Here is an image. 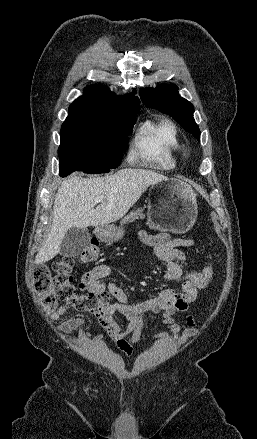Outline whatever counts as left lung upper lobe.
<instances>
[{
    "mask_svg": "<svg viewBox=\"0 0 257 439\" xmlns=\"http://www.w3.org/2000/svg\"><path fill=\"white\" fill-rule=\"evenodd\" d=\"M142 102L150 108L172 116L181 126L200 140V130L193 118V105L178 94L176 85L161 84L140 90Z\"/></svg>",
    "mask_w": 257,
    "mask_h": 439,
    "instance_id": "1",
    "label": "left lung upper lobe"
}]
</instances>
